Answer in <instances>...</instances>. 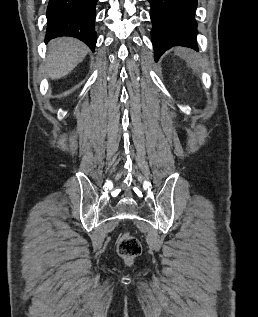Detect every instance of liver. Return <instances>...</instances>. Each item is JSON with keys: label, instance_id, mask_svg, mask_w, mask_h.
I'll return each instance as SVG.
<instances>
[{"label": "liver", "instance_id": "6515ba94", "mask_svg": "<svg viewBox=\"0 0 258 317\" xmlns=\"http://www.w3.org/2000/svg\"><path fill=\"white\" fill-rule=\"evenodd\" d=\"M88 48L84 42L77 38H54L49 42V50L46 62V72L50 78H61L73 70L84 56Z\"/></svg>", "mask_w": 258, "mask_h": 317}]
</instances>
